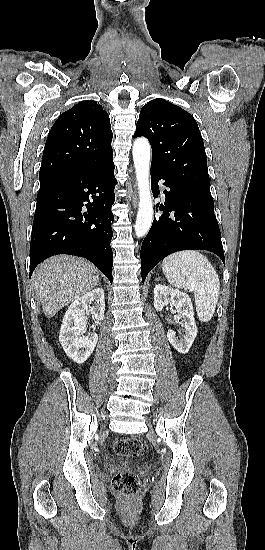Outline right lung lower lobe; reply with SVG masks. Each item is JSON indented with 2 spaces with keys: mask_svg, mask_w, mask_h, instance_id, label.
I'll use <instances>...</instances> for the list:
<instances>
[{
  "mask_svg": "<svg viewBox=\"0 0 265 550\" xmlns=\"http://www.w3.org/2000/svg\"><path fill=\"white\" fill-rule=\"evenodd\" d=\"M116 183L112 160L40 187L31 234L30 276L46 258L71 254L90 260L112 283L111 206Z\"/></svg>",
  "mask_w": 265,
  "mask_h": 550,
  "instance_id": "1",
  "label": "right lung lower lobe"
}]
</instances>
